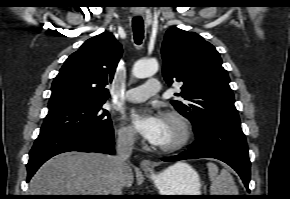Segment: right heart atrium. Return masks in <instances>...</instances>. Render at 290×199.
<instances>
[{"instance_id":"d8ad5b80","label":"right heart atrium","mask_w":290,"mask_h":199,"mask_svg":"<svg viewBox=\"0 0 290 199\" xmlns=\"http://www.w3.org/2000/svg\"><path fill=\"white\" fill-rule=\"evenodd\" d=\"M118 140L125 145H133L136 142L134 130L126 125H120L117 130Z\"/></svg>"}]
</instances>
